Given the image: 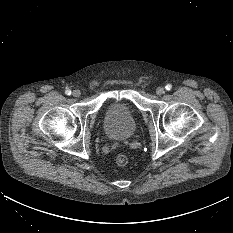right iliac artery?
Masks as SVG:
<instances>
[{"label": "right iliac artery", "mask_w": 233, "mask_h": 233, "mask_svg": "<svg viewBox=\"0 0 233 233\" xmlns=\"http://www.w3.org/2000/svg\"><path fill=\"white\" fill-rule=\"evenodd\" d=\"M65 94H66V95H70V94H71V90H70V89H67V90L65 91Z\"/></svg>", "instance_id": "1"}]
</instances>
